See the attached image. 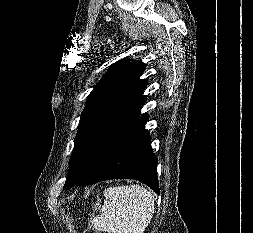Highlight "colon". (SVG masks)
<instances>
[{
  "instance_id": "obj_1",
  "label": "colon",
  "mask_w": 253,
  "mask_h": 233,
  "mask_svg": "<svg viewBox=\"0 0 253 233\" xmlns=\"http://www.w3.org/2000/svg\"><path fill=\"white\" fill-rule=\"evenodd\" d=\"M83 233H98V231L89 223L84 229Z\"/></svg>"
}]
</instances>
